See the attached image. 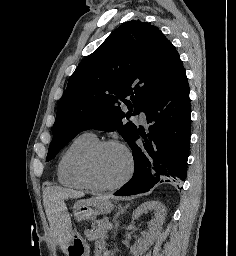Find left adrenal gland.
<instances>
[{
    "instance_id": "a2214340",
    "label": "left adrenal gland",
    "mask_w": 236,
    "mask_h": 256,
    "mask_svg": "<svg viewBox=\"0 0 236 256\" xmlns=\"http://www.w3.org/2000/svg\"><path fill=\"white\" fill-rule=\"evenodd\" d=\"M125 210H126V208H122L121 204H119L118 212H117V214H115V216L112 220V222H114V224H117L116 220H117L118 216H120V214H124Z\"/></svg>"
}]
</instances>
